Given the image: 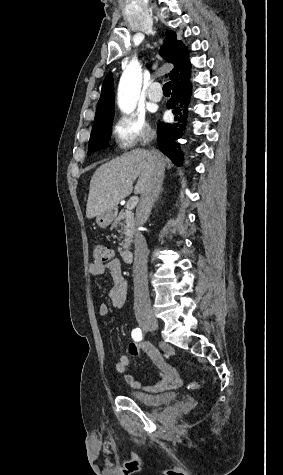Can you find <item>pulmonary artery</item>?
<instances>
[{"mask_svg":"<svg viewBox=\"0 0 283 475\" xmlns=\"http://www.w3.org/2000/svg\"><path fill=\"white\" fill-rule=\"evenodd\" d=\"M150 91L147 92L146 97L148 100L152 102H159L161 100V95L163 94V89L161 88V84H156L153 82L151 85ZM119 90H142V89H119Z\"/></svg>","mask_w":283,"mask_h":475,"instance_id":"obj_1","label":"pulmonary artery"}]
</instances>
